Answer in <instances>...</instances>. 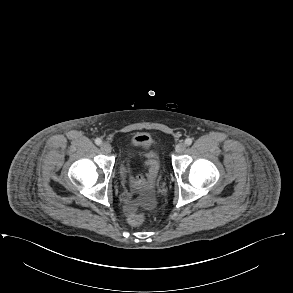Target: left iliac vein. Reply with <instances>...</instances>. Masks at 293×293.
<instances>
[{"mask_svg":"<svg viewBox=\"0 0 293 293\" xmlns=\"http://www.w3.org/2000/svg\"><path fill=\"white\" fill-rule=\"evenodd\" d=\"M185 149H186V144L184 142L178 143L175 147V151L178 154L183 153L185 151Z\"/></svg>","mask_w":293,"mask_h":293,"instance_id":"left-iliac-vein-1","label":"left iliac vein"}]
</instances>
